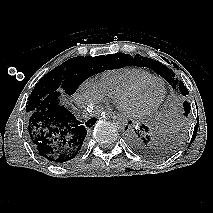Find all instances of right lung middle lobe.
Segmentation results:
<instances>
[{"label": "right lung middle lobe", "mask_w": 213, "mask_h": 213, "mask_svg": "<svg viewBox=\"0 0 213 213\" xmlns=\"http://www.w3.org/2000/svg\"><path fill=\"white\" fill-rule=\"evenodd\" d=\"M121 55L123 53L96 57H74L56 67L44 75L35 85L27 102V116L38 107L46 96L53 92L60 90L67 95L74 94L86 78L104 70L112 69L113 67H110L111 62L113 59L116 61Z\"/></svg>", "instance_id": "1"}]
</instances>
